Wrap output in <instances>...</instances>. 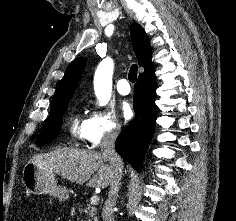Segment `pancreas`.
<instances>
[{
	"label": "pancreas",
	"instance_id": "cf45deb5",
	"mask_svg": "<svg viewBox=\"0 0 236 221\" xmlns=\"http://www.w3.org/2000/svg\"><path fill=\"white\" fill-rule=\"evenodd\" d=\"M97 207L92 205L83 206L81 203H78L75 207L72 208L71 214L78 217V221H98L97 217ZM79 213V216H78Z\"/></svg>",
	"mask_w": 236,
	"mask_h": 221
}]
</instances>
